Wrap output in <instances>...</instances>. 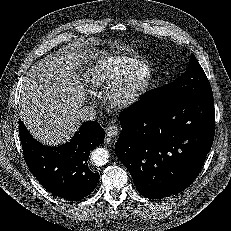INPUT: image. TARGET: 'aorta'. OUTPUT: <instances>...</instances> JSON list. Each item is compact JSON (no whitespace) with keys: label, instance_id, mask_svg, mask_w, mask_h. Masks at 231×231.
<instances>
[{"label":"aorta","instance_id":"762f6f07","mask_svg":"<svg viewBox=\"0 0 231 231\" xmlns=\"http://www.w3.org/2000/svg\"><path fill=\"white\" fill-rule=\"evenodd\" d=\"M109 152L104 148H96L91 153V160L96 166H103L108 162Z\"/></svg>","mask_w":231,"mask_h":231}]
</instances>
